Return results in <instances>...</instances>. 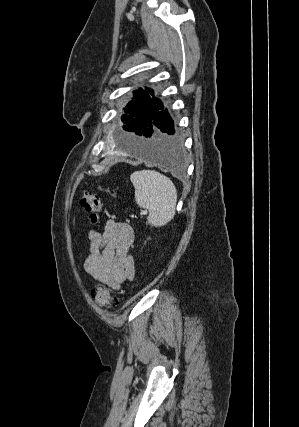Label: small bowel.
I'll return each mask as SVG.
<instances>
[{"label": "small bowel", "mask_w": 299, "mask_h": 427, "mask_svg": "<svg viewBox=\"0 0 299 427\" xmlns=\"http://www.w3.org/2000/svg\"><path fill=\"white\" fill-rule=\"evenodd\" d=\"M89 255L84 269L93 279L118 290L135 276V261L129 250L134 243L133 228L125 222L109 219L101 231L91 230Z\"/></svg>", "instance_id": "1"}]
</instances>
